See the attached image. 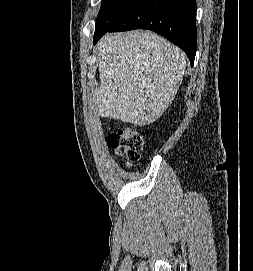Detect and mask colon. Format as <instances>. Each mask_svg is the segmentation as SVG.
<instances>
[{"label": "colon", "instance_id": "1", "mask_svg": "<svg viewBox=\"0 0 253 271\" xmlns=\"http://www.w3.org/2000/svg\"><path fill=\"white\" fill-rule=\"evenodd\" d=\"M107 144L116 154L124 156L131 165L140 158L144 139L135 129L126 127L112 132L107 139Z\"/></svg>", "mask_w": 253, "mask_h": 271}]
</instances>
